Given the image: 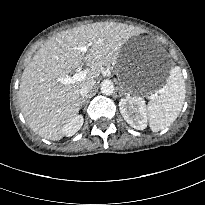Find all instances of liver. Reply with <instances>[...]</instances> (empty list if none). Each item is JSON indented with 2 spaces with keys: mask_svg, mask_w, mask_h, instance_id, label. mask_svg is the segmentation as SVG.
I'll list each match as a JSON object with an SVG mask.
<instances>
[{
  "mask_svg": "<svg viewBox=\"0 0 205 205\" xmlns=\"http://www.w3.org/2000/svg\"><path fill=\"white\" fill-rule=\"evenodd\" d=\"M135 34L134 28L114 22H96L65 30L48 40L23 71L20 108L32 131L52 141L64 136V126L77 116L83 83L95 81L102 68L116 63L123 45ZM89 48L87 53L77 50ZM84 61L85 79L65 85L56 81Z\"/></svg>",
  "mask_w": 205,
  "mask_h": 205,
  "instance_id": "liver-1",
  "label": "liver"
}]
</instances>
